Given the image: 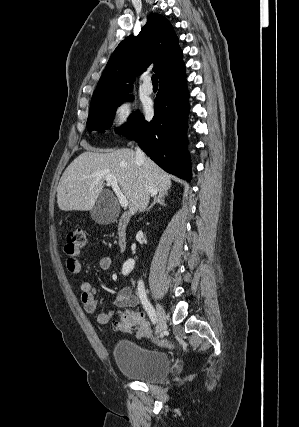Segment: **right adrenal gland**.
<instances>
[{
  "instance_id": "right-adrenal-gland-1",
  "label": "right adrenal gland",
  "mask_w": 299,
  "mask_h": 427,
  "mask_svg": "<svg viewBox=\"0 0 299 427\" xmlns=\"http://www.w3.org/2000/svg\"><path fill=\"white\" fill-rule=\"evenodd\" d=\"M166 196H168V193L167 192H159L158 193V195H156L155 197H154V201H153V203L150 205V207L147 209V212H149L153 207H154V205L156 204V203H158V204H160V205H162V206H166V204H165V197Z\"/></svg>"
}]
</instances>
